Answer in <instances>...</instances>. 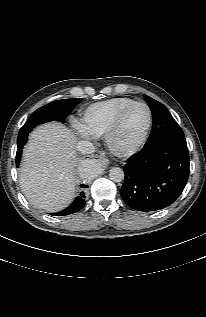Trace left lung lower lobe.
Returning <instances> with one entry per match:
<instances>
[{"mask_svg": "<svg viewBox=\"0 0 206 317\" xmlns=\"http://www.w3.org/2000/svg\"><path fill=\"white\" fill-rule=\"evenodd\" d=\"M186 143L162 142L128 158L120 189L124 202L138 211H155L172 204L189 176Z\"/></svg>", "mask_w": 206, "mask_h": 317, "instance_id": "left-lung-lower-lobe-1", "label": "left lung lower lobe"}]
</instances>
